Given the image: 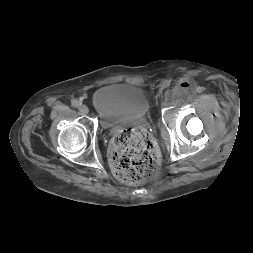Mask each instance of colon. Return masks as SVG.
<instances>
[{
    "instance_id": "1",
    "label": "colon",
    "mask_w": 253,
    "mask_h": 253,
    "mask_svg": "<svg viewBox=\"0 0 253 253\" xmlns=\"http://www.w3.org/2000/svg\"><path fill=\"white\" fill-rule=\"evenodd\" d=\"M110 160L120 181L137 184L154 176L159 156L154 141L144 129L129 128L113 138Z\"/></svg>"
}]
</instances>
